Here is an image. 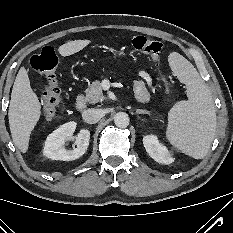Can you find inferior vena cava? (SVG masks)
I'll list each match as a JSON object with an SVG mask.
<instances>
[{
  "label": "inferior vena cava",
  "instance_id": "inferior-vena-cava-1",
  "mask_svg": "<svg viewBox=\"0 0 233 233\" xmlns=\"http://www.w3.org/2000/svg\"><path fill=\"white\" fill-rule=\"evenodd\" d=\"M103 116L101 109H87L82 113L83 120L89 124L97 123Z\"/></svg>",
  "mask_w": 233,
  "mask_h": 233
}]
</instances>
